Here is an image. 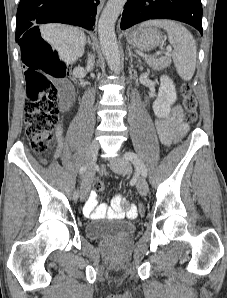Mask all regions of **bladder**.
Instances as JSON below:
<instances>
[{"label": "bladder", "instance_id": "1", "mask_svg": "<svg viewBox=\"0 0 227 298\" xmlns=\"http://www.w3.org/2000/svg\"><path fill=\"white\" fill-rule=\"evenodd\" d=\"M136 225L127 220L101 219L89 222L85 227V235L91 240H111L130 236Z\"/></svg>", "mask_w": 227, "mask_h": 298}]
</instances>
